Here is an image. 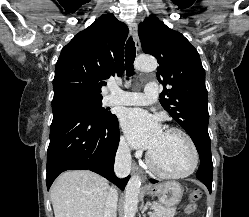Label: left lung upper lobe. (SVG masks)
Listing matches in <instances>:
<instances>
[{
	"label": "left lung upper lobe",
	"mask_w": 249,
	"mask_h": 217,
	"mask_svg": "<svg viewBox=\"0 0 249 217\" xmlns=\"http://www.w3.org/2000/svg\"><path fill=\"white\" fill-rule=\"evenodd\" d=\"M138 32L144 53L159 63L161 105L189 134L198 151L211 149L205 70L197 50L154 15L139 25Z\"/></svg>",
	"instance_id": "1"
}]
</instances>
